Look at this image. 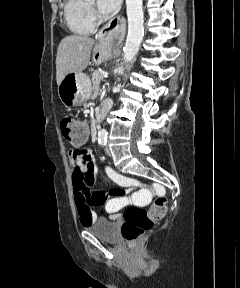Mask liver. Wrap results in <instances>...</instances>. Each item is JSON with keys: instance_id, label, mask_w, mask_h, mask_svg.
Returning a JSON list of instances; mask_svg holds the SVG:
<instances>
[{"instance_id": "liver-1", "label": "liver", "mask_w": 240, "mask_h": 288, "mask_svg": "<svg viewBox=\"0 0 240 288\" xmlns=\"http://www.w3.org/2000/svg\"><path fill=\"white\" fill-rule=\"evenodd\" d=\"M95 40L88 36L69 35L61 40L56 57L58 86L67 74L81 73L90 64V54Z\"/></svg>"}]
</instances>
